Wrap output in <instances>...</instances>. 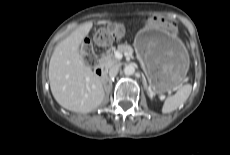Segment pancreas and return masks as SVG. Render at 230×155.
Segmentation results:
<instances>
[{"instance_id": "obj_1", "label": "pancreas", "mask_w": 230, "mask_h": 155, "mask_svg": "<svg viewBox=\"0 0 230 155\" xmlns=\"http://www.w3.org/2000/svg\"><path fill=\"white\" fill-rule=\"evenodd\" d=\"M118 51L131 54L132 48L129 45H119L117 48ZM100 65L105 69L108 70L112 66L119 64V60L114 56L112 52H108L107 54H104L100 60Z\"/></svg>"}]
</instances>
